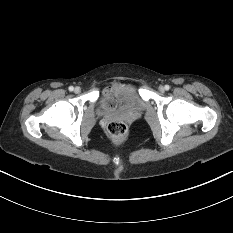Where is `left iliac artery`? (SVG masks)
<instances>
[{
	"label": "left iliac artery",
	"instance_id": "obj_1",
	"mask_svg": "<svg viewBox=\"0 0 233 233\" xmlns=\"http://www.w3.org/2000/svg\"><path fill=\"white\" fill-rule=\"evenodd\" d=\"M165 90H169L170 89V86L169 85H165Z\"/></svg>",
	"mask_w": 233,
	"mask_h": 233
}]
</instances>
